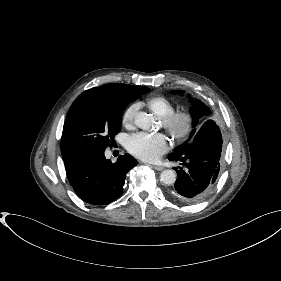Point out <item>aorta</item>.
I'll return each mask as SVG.
<instances>
[{
  "mask_svg": "<svg viewBox=\"0 0 281 281\" xmlns=\"http://www.w3.org/2000/svg\"><path fill=\"white\" fill-rule=\"evenodd\" d=\"M135 125L143 130H149L154 123L153 118L144 112L135 117ZM160 181L165 185H172L176 181V173L173 170H164L160 174Z\"/></svg>",
  "mask_w": 281,
  "mask_h": 281,
  "instance_id": "1",
  "label": "aorta"
}]
</instances>
